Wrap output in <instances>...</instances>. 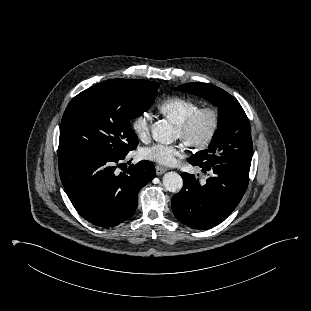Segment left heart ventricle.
Listing matches in <instances>:
<instances>
[{
  "label": "left heart ventricle",
  "mask_w": 311,
  "mask_h": 311,
  "mask_svg": "<svg viewBox=\"0 0 311 311\" xmlns=\"http://www.w3.org/2000/svg\"><path fill=\"white\" fill-rule=\"evenodd\" d=\"M209 124H210V120L208 117H204L203 119H201L195 128L194 135L196 137H202L203 135H205V133L207 132L209 128ZM177 137L180 138L179 131H177Z\"/></svg>",
  "instance_id": "left-heart-ventricle-1"
}]
</instances>
